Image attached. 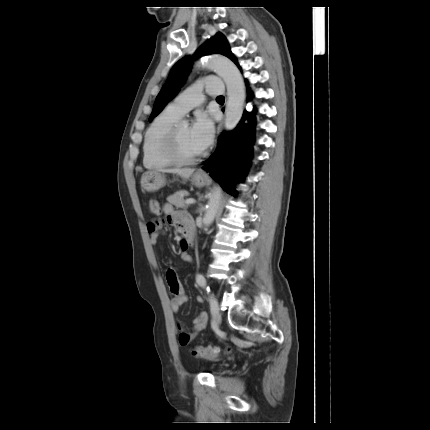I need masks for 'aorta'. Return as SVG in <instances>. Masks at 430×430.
Listing matches in <instances>:
<instances>
[{
    "mask_svg": "<svg viewBox=\"0 0 430 430\" xmlns=\"http://www.w3.org/2000/svg\"><path fill=\"white\" fill-rule=\"evenodd\" d=\"M202 68L210 69L222 77L227 87L228 100L225 108V128L234 129L239 123L245 101V84L239 69L229 59L216 54L209 55L202 63ZM186 123L185 121L183 122ZM222 192L220 188H214L209 196L203 223L209 226L221 205Z\"/></svg>",
    "mask_w": 430,
    "mask_h": 430,
    "instance_id": "obj_1",
    "label": "aorta"
}]
</instances>
